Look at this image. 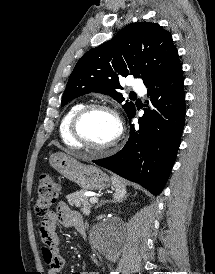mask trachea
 I'll list each match as a JSON object with an SVG mask.
<instances>
[{"instance_id": "1", "label": "trachea", "mask_w": 215, "mask_h": 274, "mask_svg": "<svg viewBox=\"0 0 215 274\" xmlns=\"http://www.w3.org/2000/svg\"><path fill=\"white\" fill-rule=\"evenodd\" d=\"M130 96H131V97H136V94H135V93H132Z\"/></svg>"}]
</instances>
